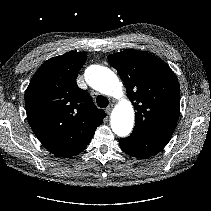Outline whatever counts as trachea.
<instances>
[{"label": "trachea", "mask_w": 211, "mask_h": 211, "mask_svg": "<svg viewBox=\"0 0 211 211\" xmlns=\"http://www.w3.org/2000/svg\"><path fill=\"white\" fill-rule=\"evenodd\" d=\"M96 102H97V105H98L100 108H105V107H107L108 104H109L108 99H107L105 96H102V95H99V96L96 98Z\"/></svg>", "instance_id": "obj_1"}]
</instances>
